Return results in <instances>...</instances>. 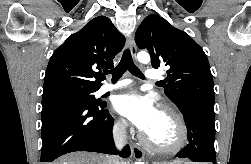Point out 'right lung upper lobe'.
<instances>
[{
	"label": "right lung upper lobe",
	"mask_w": 251,
	"mask_h": 164,
	"mask_svg": "<svg viewBox=\"0 0 251 164\" xmlns=\"http://www.w3.org/2000/svg\"><path fill=\"white\" fill-rule=\"evenodd\" d=\"M125 37L109 18L98 16L58 47L46 69L43 91L75 87L98 90L102 69L113 68Z\"/></svg>",
	"instance_id": "cb5924a9"
}]
</instances>
